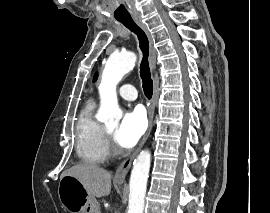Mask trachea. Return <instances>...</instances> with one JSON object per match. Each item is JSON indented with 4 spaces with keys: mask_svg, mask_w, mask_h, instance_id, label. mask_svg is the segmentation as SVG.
Listing matches in <instances>:
<instances>
[{
    "mask_svg": "<svg viewBox=\"0 0 270 213\" xmlns=\"http://www.w3.org/2000/svg\"><path fill=\"white\" fill-rule=\"evenodd\" d=\"M125 27L135 33L139 40L140 49L143 53V58L140 64V76L143 83L144 94L148 99H151L153 94V82L148 63L149 41L145 32L133 21L132 18L119 20Z\"/></svg>",
    "mask_w": 270,
    "mask_h": 213,
    "instance_id": "obj_1",
    "label": "trachea"
}]
</instances>
